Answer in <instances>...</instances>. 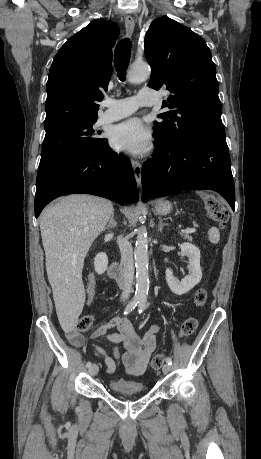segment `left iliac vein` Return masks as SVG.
Here are the masks:
<instances>
[{
  "label": "left iliac vein",
  "instance_id": "left-iliac-vein-1",
  "mask_svg": "<svg viewBox=\"0 0 261 459\" xmlns=\"http://www.w3.org/2000/svg\"><path fill=\"white\" fill-rule=\"evenodd\" d=\"M162 371L164 374H168L171 371V366L169 364H164L162 367Z\"/></svg>",
  "mask_w": 261,
  "mask_h": 459
}]
</instances>
